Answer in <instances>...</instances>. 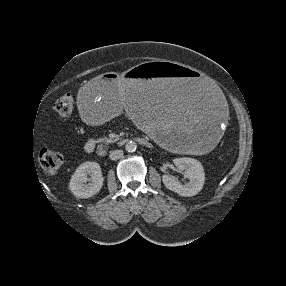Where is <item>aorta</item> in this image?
<instances>
[{"instance_id": "762f6f07", "label": "aorta", "mask_w": 286, "mask_h": 286, "mask_svg": "<svg viewBox=\"0 0 286 286\" xmlns=\"http://www.w3.org/2000/svg\"><path fill=\"white\" fill-rule=\"evenodd\" d=\"M136 148H137V145L133 141H129L125 145V150L129 153L134 152L136 150Z\"/></svg>"}]
</instances>
